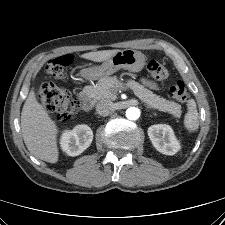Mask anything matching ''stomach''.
Masks as SVG:
<instances>
[{
  "label": "stomach",
  "instance_id": "obj_1",
  "mask_svg": "<svg viewBox=\"0 0 225 225\" xmlns=\"http://www.w3.org/2000/svg\"><path fill=\"white\" fill-rule=\"evenodd\" d=\"M145 64V56L140 51L124 49L117 51L100 66L85 70V76L90 79L108 77L123 69L130 72H140Z\"/></svg>",
  "mask_w": 225,
  "mask_h": 225
}]
</instances>
